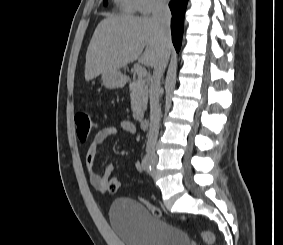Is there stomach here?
<instances>
[{
	"instance_id": "obj_1",
	"label": "stomach",
	"mask_w": 283,
	"mask_h": 245,
	"mask_svg": "<svg viewBox=\"0 0 283 245\" xmlns=\"http://www.w3.org/2000/svg\"><path fill=\"white\" fill-rule=\"evenodd\" d=\"M101 80L106 88L114 89L125 84V77L119 70H107L101 73Z\"/></svg>"
}]
</instances>
